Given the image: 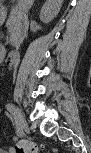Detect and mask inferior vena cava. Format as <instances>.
<instances>
[{"mask_svg": "<svg viewBox=\"0 0 91 153\" xmlns=\"http://www.w3.org/2000/svg\"><path fill=\"white\" fill-rule=\"evenodd\" d=\"M23 23H24V35H25L27 33L28 26H29L28 17L26 16L23 17Z\"/></svg>", "mask_w": 91, "mask_h": 153, "instance_id": "1", "label": "inferior vena cava"}]
</instances>
